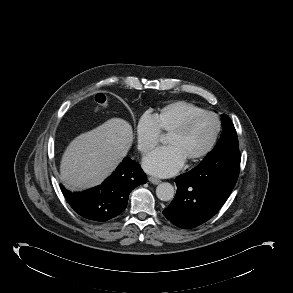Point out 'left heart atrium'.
<instances>
[{"label":"left heart atrium","mask_w":293,"mask_h":293,"mask_svg":"<svg viewBox=\"0 0 293 293\" xmlns=\"http://www.w3.org/2000/svg\"><path fill=\"white\" fill-rule=\"evenodd\" d=\"M185 159L173 146L157 149L143 160L144 169L158 177H168L177 173L184 165Z\"/></svg>","instance_id":"1"}]
</instances>
